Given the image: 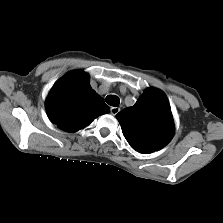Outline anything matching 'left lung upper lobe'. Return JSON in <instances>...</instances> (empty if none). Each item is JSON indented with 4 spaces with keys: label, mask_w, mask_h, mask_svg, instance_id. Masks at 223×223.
<instances>
[{
    "label": "left lung upper lobe",
    "mask_w": 223,
    "mask_h": 223,
    "mask_svg": "<svg viewBox=\"0 0 223 223\" xmlns=\"http://www.w3.org/2000/svg\"><path fill=\"white\" fill-rule=\"evenodd\" d=\"M124 137L140 153H152L172 139L174 122L166 95L155 88L144 91L134 106L116 115Z\"/></svg>",
    "instance_id": "5c2ea615"
}]
</instances>
